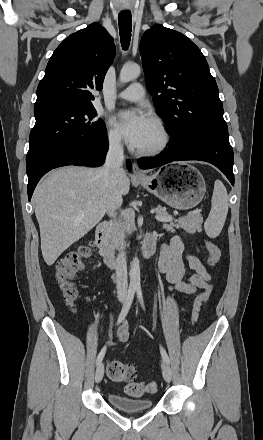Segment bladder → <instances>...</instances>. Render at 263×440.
Returning <instances> with one entry per match:
<instances>
[{
	"label": "bladder",
	"mask_w": 263,
	"mask_h": 440,
	"mask_svg": "<svg viewBox=\"0 0 263 440\" xmlns=\"http://www.w3.org/2000/svg\"><path fill=\"white\" fill-rule=\"evenodd\" d=\"M107 398L111 405L125 412L145 411L153 407L151 398H133L116 392L108 393Z\"/></svg>",
	"instance_id": "obj_1"
}]
</instances>
